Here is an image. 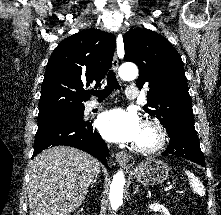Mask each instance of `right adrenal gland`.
<instances>
[{
	"label": "right adrenal gland",
	"instance_id": "1",
	"mask_svg": "<svg viewBox=\"0 0 221 215\" xmlns=\"http://www.w3.org/2000/svg\"><path fill=\"white\" fill-rule=\"evenodd\" d=\"M97 178H98V176H95V179L92 181L90 188H93V185L97 184Z\"/></svg>",
	"mask_w": 221,
	"mask_h": 215
}]
</instances>
